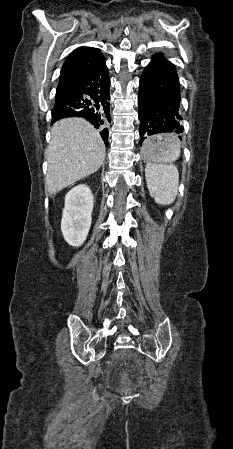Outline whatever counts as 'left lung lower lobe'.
Masks as SVG:
<instances>
[{
  "instance_id": "obj_1",
  "label": "left lung lower lobe",
  "mask_w": 233,
  "mask_h": 449,
  "mask_svg": "<svg viewBox=\"0 0 233 449\" xmlns=\"http://www.w3.org/2000/svg\"><path fill=\"white\" fill-rule=\"evenodd\" d=\"M180 100V83L174 65L162 53L155 54L139 82L141 144L152 141L153 145L165 147L173 139L165 133L182 132Z\"/></svg>"
}]
</instances>
